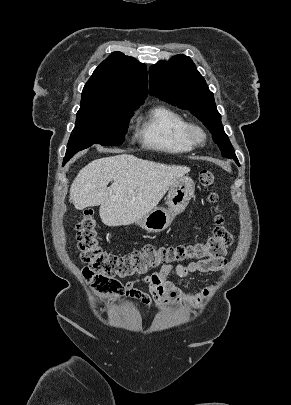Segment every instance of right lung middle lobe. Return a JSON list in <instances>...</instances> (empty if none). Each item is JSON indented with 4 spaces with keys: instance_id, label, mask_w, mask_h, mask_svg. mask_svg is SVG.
Listing matches in <instances>:
<instances>
[{
    "instance_id": "dd1d6c3e",
    "label": "right lung middle lobe",
    "mask_w": 291,
    "mask_h": 405,
    "mask_svg": "<svg viewBox=\"0 0 291 405\" xmlns=\"http://www.w3.org/2000/svg\"><path fill=\"white\" fill-rule=\"evenodd\" d=\"M137 108L96 105L77 112L63 165L72 156L93 144L116 146L124 142L130 118Z\"/></svg>"
}]
</instances>
